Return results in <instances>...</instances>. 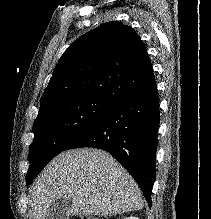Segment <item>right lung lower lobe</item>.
<instances>
[{"mask_svg": "<svg viewBox=\"0 0 211 219\" xmlns=\"http://www.w3.org/2000/svg\"><path fill=\"white\" fill-rule=\"evenodd\" d=\"M159 124V99L153 79L115 102L65 150L92 147L109 152L138 183L151 206Z\"/></svg>", "mask_w": 211, "mask_h": 219, "instance_id": "right-lung-lower-lobe-1", "label": "right lung lower lobe"}]
</instances>
